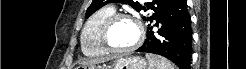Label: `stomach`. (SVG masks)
Returning <instances> with one entry per match:
<instances>
[{
	"label": "stomach",
	"instance_id": "0dacf381",
	"mask_svg": "<svg viewBox=\"0 0 246 69\" xmlns=\"http://www.w3.org/2000/svg\"><path fill=\"white\" fill-rule=\"evenodd\" d=\"M76 69H149L148 64L142 57H121L114 60L108 66H100L96 64H83Z\"/></svg>",
	"mask_w": 246,
	"mask_h": 69
}]
</instances>
